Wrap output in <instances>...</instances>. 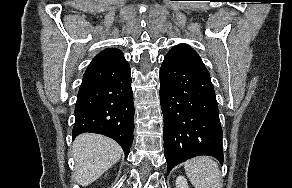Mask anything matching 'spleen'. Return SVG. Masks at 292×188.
I'll return each instance as SVG.
<instances>
[{
    "mask_svg": "<svg viewBox=\"0 0 292 188\" xmlns=\"http://www.w3.org/2000/svg\"><path fill=\"white\" fill-rule=\"evenodd\" d=\"M184 168L195 188H223L220 169L211 157L200 156L190 159Z\"/></svg>",
    "mask_w": 292,
    "mask_h": 188,
    "instance_id": "3e777b00",
    "label": "spleen"
}]
</instances>
